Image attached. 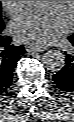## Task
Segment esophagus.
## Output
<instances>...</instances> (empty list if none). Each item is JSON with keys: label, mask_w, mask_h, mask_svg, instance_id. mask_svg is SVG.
<instances>
[{"label": "esophagus", "mask_w": 74, "mask_h": 122, "mask_svg": "<svg viewBox=\"0 0 74 122\" xmlns=\"http://www.w3.org/2000/svg\"><path fill=\"white\" fill-rule=\"evenodd\" d=\"M45 50H47V47L43 45H27L26 46V51L29 53L42 52Z\"/></svg>", "instance_id": "34e87169"}]
</instances>
